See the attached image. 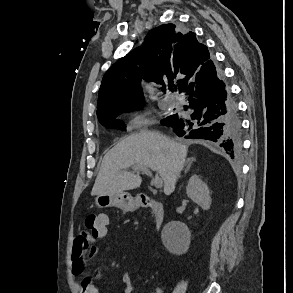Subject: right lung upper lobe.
<instances>
[{"label":"right lung upper lobe","instance_id":"1","mask_svg":"<svg viewBox=\"0 0 293 293\" xmlns=\"http://www.w3.org/2000/svg\"><path fill=\"white\" fill-rule=\"evenodd\" d=\"M210 60L207 47L193 32L182 34L174 24L152 29L142 46L121 58L102 79L97 117L138 108L143 103L141 78L182 91Z\"/></svg>","mask_w":293,"mask_h":293}]
</instances>
